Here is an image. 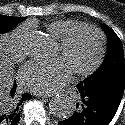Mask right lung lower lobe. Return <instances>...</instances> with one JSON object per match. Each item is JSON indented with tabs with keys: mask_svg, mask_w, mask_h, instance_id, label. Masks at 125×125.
<instances>
[{
	"mask_svg": "<svg viewBox=\"0 0 125 125\" xmlns=\"http://www.w3.org/2000/svg\"><path fill=\"white\" fill-rule=\"evenodd\" d=\"M16 84L13 86L10 92V97L13 99L14 103L11 106H0V125H17L20 119V114L18 111L19 105L30 99L29 93L22 94L21 97L15 95Z\"/></svg>",
	"mask_w": 125,
	"mask_h": 125,
	"instance_id": "obj_1",
	"label": "right lung lower lobe"
}]
</instances>
